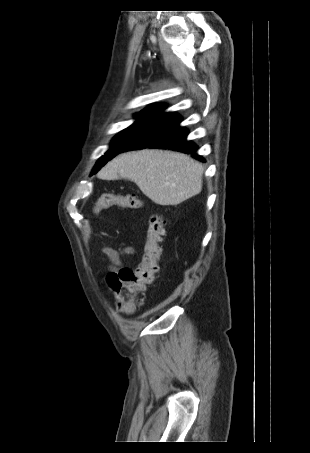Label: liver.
Masks as SVG:
<instances>
[{
    "label": "liver",
    "instance_id": "liver-1",
    "mask_svg": "<svg viewBox=\"0 0 310 453\" xmlns=\"http://www.w3.org/2000/svg\"><path fill=\"white\" fill-rule=\"evenodd\" d=\"M203 172L202 164L185 154L145 149L118 155L97 176L102 180L130 179L154 203L167 206L199 194Z\"/></svg>",
    "mask_w": 310,
    "mask_h": 453
}]
</instances>
